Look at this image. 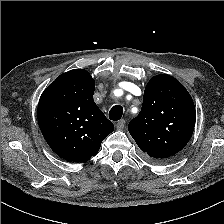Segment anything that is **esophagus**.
I'll return each instance as SVG.
<instances>
[{
    "label": "esophagus",
    "instance_id": "1",
    "mask_svg": "<svg viewBox=\"0 0 224 224\" xmlns=\"http://www.w3.org/2000/svg\"><path fill=\"white\" fill-rule=\"evenodd\" d=\"M124 127H125V120L124 119L117 122V124H116L117 130H122Z\"/></svg>",
    "mask_w": 224,
    "mask_h": 224
}]
</instances>
